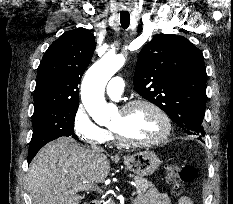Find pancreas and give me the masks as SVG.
I'll return each instance as SVG.
<instances>
[{
  "instance_id": "cf45deb5",
  "label": "pancreas",
  "mask_w": 233,
  "mask_h": 204,
  "mask_svg": "<svg viewBox=\"0 0 233 204\" xmlns=\"http://www.w3.org/2000/svg\"><path fill=\"white\" fill-rule=\"evenodd\" d=\"M133 177L135 183H136V193H145L148 188L154 187V184L149 182L147 179L140 177V176H130ZM109 204H114L113 202H110Z\"/></svg>"
}]
</instances>
